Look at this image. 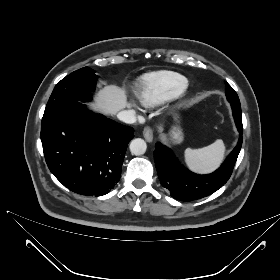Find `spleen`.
I'll list each match as a JSON object with an SVG mask.
<instances>
[{
    "mask_svg": "<svg viewBox=\"0 0 280 280\" xmlns=\"http://www.w3.org/2000/svg\"><path fill=\"white\" fill-rule=\"evenodd\" d=\"M225 145L218 139L214 143L198 149L187 148L184 152L188 168L198 174H208L216 170L223 161Z\"/></svg>",
    "mask_w": 280,
    "mask_h": 280,
    "instance_id": "3e777b00",
    "label": "spleen"
}]
</instances>
